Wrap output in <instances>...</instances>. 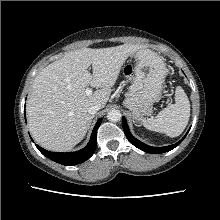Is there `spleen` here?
Segmentation results:
<instances>
[{"mask_svg":"<svg viewBox=\"0 0 220 220\" xmlns=\"http://www.w3.org/2000/svg\"><path fill=\"white\" fill-rule=\"evenodd\" d=\"M189 117V99L182 87L178 86L175 90V103L164 108L156 117L143 119L142 124L148 130L177 137L186 128Z\"/></svg>","mask_w":220,"mask_h":220,"instance_id":"3e777b00","label":"spleen"}]
</instances>
